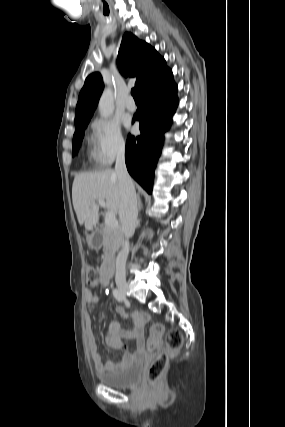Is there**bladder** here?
Segmentation results:
<instances>
[{
    "label": "bladder",
    "mask_w": 285,
    "mask_h": 427,
    "mask_svg": "<svg viewBox=\"0 0 285 427\" xmlns=\"http://www.w3.org/2000/svg\"><path fill=\"white\" fill-rule=\"evenodd\" d=\"M142 375V363H132L117 372H102L98 375L100 381L105 385L121 389L128 388L140 381Z\"/></svg>",
    "instance_id": "obj_1"
}]
</instances>
